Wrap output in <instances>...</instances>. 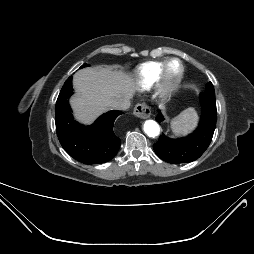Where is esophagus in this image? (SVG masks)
<instances>
[{
	"label": "esophagus",
	"mask_w": 254,
	"mask_h": 254,
	"mask_svg": "<svg viewBox=\"0 0 254 254\" xmlns=\"http://www.w3.org/2000/svg\"><path fill=\"white\" fill-rule=\"evenodd\" d=\"M133 113L138 118L146 119L150 117L151 110L147 104L139 103L135 106Z\"/></svg>",
	"instance_id": "1"
}]
</instances>
